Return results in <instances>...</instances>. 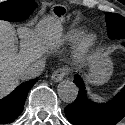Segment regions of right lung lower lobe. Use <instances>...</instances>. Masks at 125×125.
<instances>
[{"label":"right lung lower lobe","mask_w":125,"mask_h":125,"mask_svg":"<svg viewBox=\"0 0 125 125\" xmlns=\"http://www.w3.org/2000/svg\"><path fill=\"white\" fill-rule=\"evenodd\" d=\"M37 79L18 86L11 94L0 100V124L13 122L23 111L27 94Z\"/></svg>","instance_id":"1"}]
</instances>
